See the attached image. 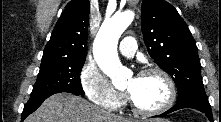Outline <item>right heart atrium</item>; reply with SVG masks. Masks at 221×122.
I'll list each match as a JSON object with an SVG mask.
<instances>
[{
  "label": "right heart atrium",
  "instance_id": "d8ad5b80",
  "mask_svg": "<svg viewBox=\"0 0 221 122\" xmlns=\"http://www.w3.org/2000/svg\"><path fill=\"white\" fill-rule=\"evenodd\" d=\"M81 87L87 98L97 106L107 110H116L124 100L100 67L92 60H87L79 74Z\"/></svg>",
  "mask_w": 221,
  "mask_h": 122
}]
</instances>
